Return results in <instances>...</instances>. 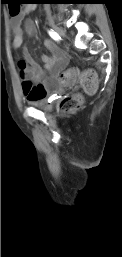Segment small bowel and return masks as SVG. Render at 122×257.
I'll list each match as a JSON object with an SVG mask.
<instances>
[{"mask_svg": "<svg viewBox=\"0 0 122 257\" xmlns=\"http://www.w3.org/2000/svg\"><path fill=\"white\" fill-rule=\"evenodd\" d=\"M34 9V5H26L21 12L12 17L13 48L18 49L22 46L23 30L31 37L36 35L34 23L26 19ZM44 46L49 52L41 56L44 69L31 57L26 47L23 52H14V57H24L16 59L15 63L18 64V73L22 79V92L28 101L46 98L49 91L57 86L56 80L60 79L59 75L68 62L67 55L53 41L46 39Z\"/></svg>", "mask_w": 122, "mask_h": 257, "instance_id": "obj_1", "label": "small bowel"}]
</instances>
